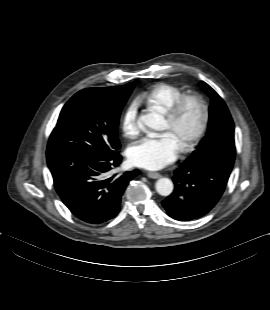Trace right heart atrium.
Returning a JSON list of instances; mask_svg holds the SVG:
<instances>
[{
    "mask_svg": "<svg viewBox=\"0 0 270 310\" xmlns=\"http://www.w3.org/2000/svg\"><path fill=\"white\" fill-rule=\"evenodd\" d=\"M121 128L125 135L135 136L140 130L139 102L131 101L125 108L121 117Z\"/></svg>",
    "mask_w": 270,
    "mask_h": 310,
    "instance_id": "right-heart-atrium-1",
    "label": "right heart atrium"
}]
</instances>
